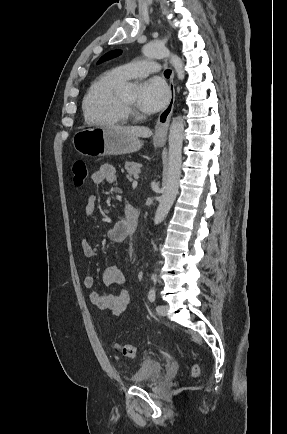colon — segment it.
<instances>
[{
    "mask_svg": "<svg viewBox=\"0 0 287 434\" xmlns=\"http://www.w3.org/2000/svg\"><path fill=\"white\" fill-rule=\"evenodd\" d=\"M73 184L76 187L83 185L84 181L88 176L87 166L84 161L77 160L73 163ZM116 350H118L123 356L127 358H135L137 355V348L131 344H115ZM200 374V367L197 363L191 365V375L192 377H198Z\"/></svg>",
    "mask_w": 287,
    "mask_h": 434,
    "instance_id": "colon-1",
    "label": "colon"
}]
</instances>
